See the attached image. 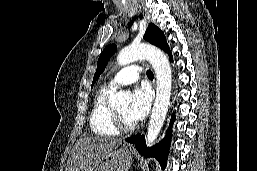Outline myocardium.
Wrapping results in <instances>:
<instances>
[{"mask_svg": "<svg viewBox=\"0 0 257 171\" xmlns=\"http://www.w3.org/2000/svg\"><path fill=\"white\" fill-rule=\"evenodd\" d=\"M113 109L114 125L119 132H130L136 129L135 123H127L115 108Z\"/></svg>", "mask_w": 257, "mask_h": 171, "instance_id": "myocardium-1", "label": "myocardium"}]
</instances>
